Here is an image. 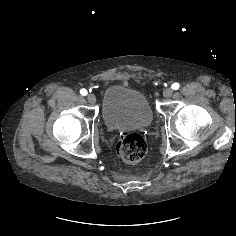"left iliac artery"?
I'll return each instance as SVG.
<instances>
[{
	"label": "left iliac artery",
	"mask_w": 236,
	"mask_h": 236,
	"mask_svg": "<svg viewBox=\"0 0 236 236\" xmlns=\"http://www.w3.org/2000/svg\"><path fill=\"white\" fill-rule=\"evenodd\" d=\"M179 87H180L179 83H173V84L171 85V88H172L173 90H177V89H179Z\"/></svg>",
	"instance_id": "obj_1"
}]
</instances>
